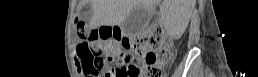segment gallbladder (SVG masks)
<instances>
[{
  "label": "gallbladder",
  "mask_w": 258,
  "mask_h": 77,
  "mask_svg": "<svg viewBox=\"0 0 258 77\" xmlns=\"http://www.w3.org/2000/svg\"><path fill=\"white\" fill-rule=\"evenodd\" d=\"M149 19V11L141 7L133 8L122 24L123 32L129 37L135 36L146 26Z\"/></svg>",
  "instance_id": "gallbladder-1"
}]
</instances>
